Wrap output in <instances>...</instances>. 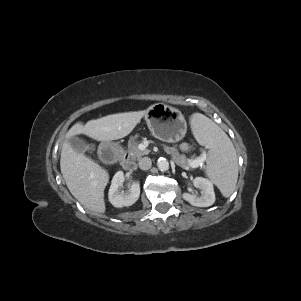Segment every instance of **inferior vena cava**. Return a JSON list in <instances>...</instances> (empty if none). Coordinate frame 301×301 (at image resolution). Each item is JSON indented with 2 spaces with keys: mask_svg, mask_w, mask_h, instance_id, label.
Here are the masks:
<instances>
[{
  "mask_svg": "<svg viewBox=\"0 0 301 301\" xmlns=\"http://www.w3.org/2000/svg\"><path fill=\"white\" fill-rule=\"evenodd\" d=\"M152 161L149 157H144L139 160V168L142 170H148L151 168Z\"/></svg>",
  "mask_w": 301,
  "mask_h": 301,
  "instance_id": "1",
  "label": "inferior vena cava"
}]
</instances>
